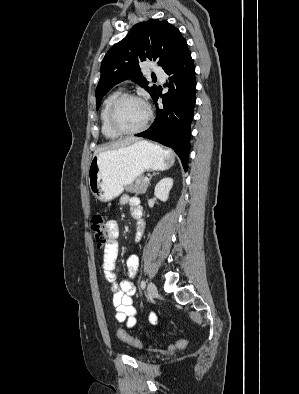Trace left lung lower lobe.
<instances>
[{
	"label": "left lung lower lobe",
	"instance_id": "1",
	"mask_svg": "<svg viewBox=\"0 0 299 394\" xmlns=\"http://www.w3.org/2000/svg\"><path fill=\"white\" fill-rule=\"evenodd\" d=\"M164 71L169 75L165 84L169 90L164 95L157 91L153 97L157 107L156 118L148 130L136 136L171 147L180 157L186 171L190 150V124L196 101L195 67L187 45ZM159 97L163 100L160 108L157 105Z\"/></svg>",
	"mask_w": 299,
	"mask_h": 394
}]
</instances>
